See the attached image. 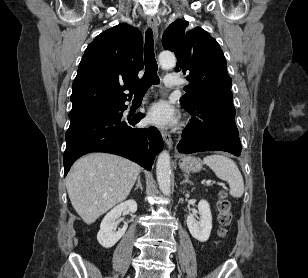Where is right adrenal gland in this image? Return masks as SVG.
<instances>
[{
  "label": "right adrenal gland",
  "instance_id": "right-adrenal-gland-1",
  "mask_svg": "<svg viewBox=\"0 0 308 278\" xmlns=\"http://www.w3.org/2000/svg\"><path fill=\"white\" fill-rule=\"evenodd\" d=\"M138 188L143 190V187H142V184H141V176L140 175L137 177V184H136V187L134 188V191H136Z\"/></svg>",
  "mask_w": 308,
  "mask_h": 278
}]
</instances>
